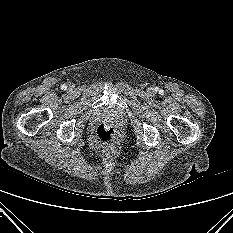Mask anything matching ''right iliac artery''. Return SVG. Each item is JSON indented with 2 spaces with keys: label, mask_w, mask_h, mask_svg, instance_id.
Instances as JSON below:
<instances>
[{
  "label": "right iliac artery",
  "mask_w": 233,
  "mask_h": 233,
  "mask_svg": "<svg viewBox=\"0 0 233 233\" xmlns=\"http://www.w3.org/2000/svg\"><path fill=\"white\" fill-rule=\"evenodd\" d=\"M66 88H67L66 85H62V86H61V89H62V90H65Z\"/></svg>",
  "instance_id": "right-iliac-artery-1"
}]
</instances>
